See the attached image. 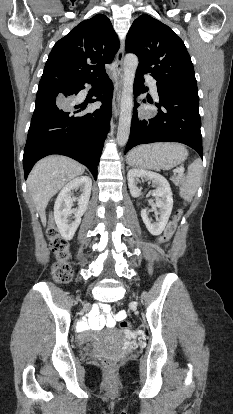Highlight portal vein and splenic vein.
<instances>
[{
  "instance_id": "portal-vein-and-splenic-vein-1",
  "label": "portal vein and splenic vein",
  "mask_w": 233,
  "mask_h": 414,
  "mask_svg": "<svg viewBox=\"0 0 233 414\" xmlns=\"http://www.w3.org/2000/svg\"><path fill=\"white\" fill-rule=\"evenodd\" d=\"M176 172H178L179 174H182L184 172V168H179L176 170Z\"/></svg>"
}]
</instances>
